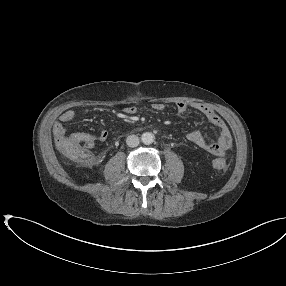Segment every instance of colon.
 <instances>
[{
  "instance_id": "colon-1",
  "label": "colon",
  "mask_w": 286,
  "mask_h": 286,
  "mask_svg": "<svg viewBox=\"0 0 286 286\" xmlns=\"http://www.w3.org/2000/svg\"><path fill=\"white\" fill-rule=\"evenodd\" d=\"M57 147L66 157L83 163L91 162L93 157L87 151L83 143V138L75 134L61 135L56 139ZM214 168L223 170L228 166L225 159H216L213 161Z\"/></svg>"
}]
</instances>
